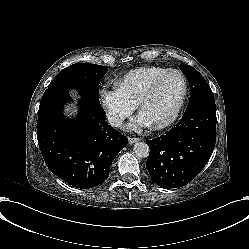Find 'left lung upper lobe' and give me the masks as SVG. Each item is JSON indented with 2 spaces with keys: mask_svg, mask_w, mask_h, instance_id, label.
<instances>
[{
  "mask_svg": "<svg viewBox=\"0 0 249 249\" xmlns=\"http://www.w3.org/2000/svg\"><path fill=\"white\" fill-rule=\"evenodd\" d=\"M190 84L191 98L186 110L193 109L204 103H215L214 95L203 76L192 66L179 65Z\"/></svg>",
  "mask_w": 249,
  "mask_h": 249,
  "instance_id": "left-lung-upper-lobe-1",
  "label": "left lung upper lobe"
}]
</instances>
